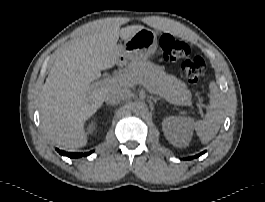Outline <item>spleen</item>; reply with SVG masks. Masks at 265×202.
<instances>
[{
  "label": "spleen",
  "instance_id": "obj_1",
  "mask_svg": "<svg viewBox=\"0 0 265 202\" xmlns=\"http://www.w3.org/2000/svg\"><path fill=\"white\" fill-rule=\"evenodd\" d=\"M223 98L214 82L210 83V101L207 113L203 120L193 123L197 135L202 143L206 144L218 133L223 122Z\"/></svg>",
  "mask_w": 265,
  "mask_h": 202
}]
</instances>
